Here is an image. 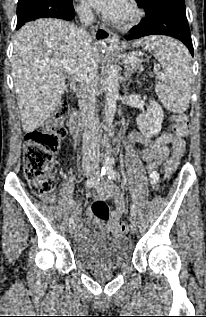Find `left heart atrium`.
Wrapping results in <instances>:
<instances>
[{
	"label": "left heart atrium",
	"mask_w": 206,
	"mask_h": 317,
	"mask_svg": "<svg viewBox=\"0 0 206 317\" xmlns=\"http://www.w3.org/2000/svg\"><path fill=\"white\" fill-rule=\"evenodd\" d=\"M84 2L100 11L107 18L113 19L125 3V0H84Z\"/></svg>",
	"instance_id": "1"
}]
</instances>
